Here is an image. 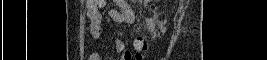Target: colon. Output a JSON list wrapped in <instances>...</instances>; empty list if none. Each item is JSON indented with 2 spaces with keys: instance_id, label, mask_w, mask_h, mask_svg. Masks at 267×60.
I'll use <instances>...</instances> for the list:
<instances>
[{
  "instance_id": "colon-1",
  "label": "colon",
  "mask_w": 267,
  "mask_h": 60,
  "mask_svg": "<svg viewBox=\"0 0 267 60\" xmlns=\"http://www.w3.org/2000/svg\"><path fill=\"white\" fill-rule=\"evenodd\" d=\"M134 45L136 47V59H142V55H141V52L146 50V47H147V42L145 40V38L143 37H139L137 38L135 41H134Z\"/></svg>"
}]
</instances>
